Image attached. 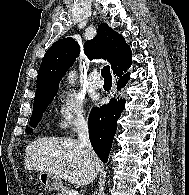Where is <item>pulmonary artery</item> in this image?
<instances>
[{"instance_id": "1", "label": "pulmonary artery", "mask_w": 189, "mask_h": 195, "mask_svg": "<svg viewBox=\"0 0 189 195\" xmlns=\"http://www.w3.org/2000/svg\"><path fill=\"white\" fill-rule=\"evenodd\" d=\"M89 83L90 86L93 89H100L103 86V80L101 78V73L97 72V71H93L90 76H89Z\"/></svg>"}]
</instances>
